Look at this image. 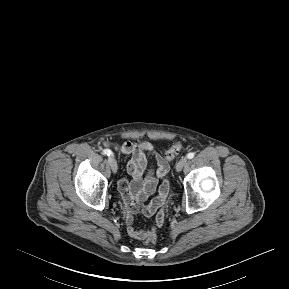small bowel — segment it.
I'll list each match as a JSON object with an SVG mask.
<instances>
[{"mask_svg":"<svg viewBox=\"0 0 289 289\" xmlns=\"http://www.w3.org/2000/svg\"><path fill=\"white\" fill-rule=\"evenodd\" d=\"M117 149L123 155L131 156L126 165V172L131 179L122 177L118 182V190L126 210L127 232L134 239L145 240L151 232L164 223L167 212L164 207L167 204L165 198L169 197L172 191L169 180L164 178L169 171V159L157 153L153 144L146 141L124 142ZM150 157L155 159V169L148 168ZM159 179H161V187L158 196L148 205H144L143 202L155 192ZM156 212L155 227L146 230L133 226L135 214L143 213L152 216Z\"/></svg>","mask_w":289,"mask_h":289,"instance_id":"small-bowel-1","label":"small bowel"}]
</instances>
